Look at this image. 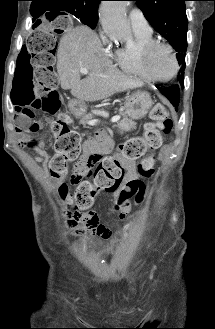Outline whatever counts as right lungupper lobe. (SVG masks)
Segmentation results:
<instances>
[{"label":"right lung upper lobe","instance_id":"obj_1","mask_svg":"<svg viewBox=\"0 0 215 329\" xmlns=\"http://www.w3.org/2000/svg\"><path fill=\"white\" fill-rule=\"evenodd\" d=\"M32 5L38 6V8L31 14L33 20H36L39 16L47 11H51L54 14L63 13L62 6L68 4L83 6L85 10V15L92 20L98 21V2L101 0H31ZM48 13V12H47Z\"/></svg>","mask_w":215,"mask_h":329}]
</instances>
